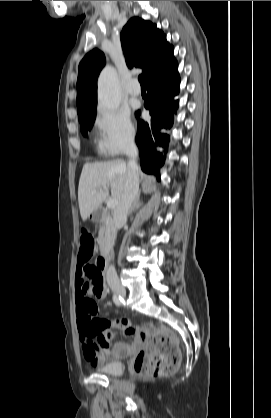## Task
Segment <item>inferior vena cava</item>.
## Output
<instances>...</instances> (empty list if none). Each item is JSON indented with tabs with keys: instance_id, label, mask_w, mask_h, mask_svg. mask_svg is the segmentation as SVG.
<instances>
[{
	"instance_id": "obj_1",
	"label": "inferior vena cava",
	"mask_w": 271,
	"mask_h": 418,
	"mask_svg": "<svg viewBox=\"0 0 271 418\" xmlns=\"http://www.w3.org/2000/svg\"><path fill=\"white\" fill-rule=\"evenodd\" d=\"M138 154L139 152L136 144L131 142L126 148V155L129 157V162L124 192L113 214V223L116 229H120L126 223L129 209L138 194ZM106 278L108 284L110 285L119 283V279L114 266L111 265L107 269Z\"/></svg>"
}]
</instances>
